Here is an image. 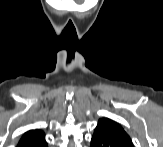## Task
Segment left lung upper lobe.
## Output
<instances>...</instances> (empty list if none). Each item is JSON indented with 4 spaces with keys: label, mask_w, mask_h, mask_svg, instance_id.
Wrapping results in <instances>:
<instances>
[{
    "label": "left lung upper lobe",
    "mask_w": 163,
    "mask_h": 147,
    "mask_svg": "<svg viewBox=\"0 0 163 147\" xmlns=\"http://www.w3.org/2000/svg\"><path fill=\"white\" fill-rule=\"evenodd\" d=\"M104 129V130H112V131H119V132H125L123 128L116 122L108 119L103 118L98 121V125L95 129Z\"/></svg>",
    "instance_id": "5c2ea615"
}]
</instances>
